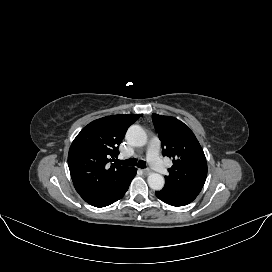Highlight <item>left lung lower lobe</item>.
Wrapping results in <instances>:
<instances>
[{
    "label": "left lung lower lobe",
    "instance_id": "left-lung-lower-lobe-1",
    "mask_svg": "<svg viewBox=\"0 0 272 272\" xmlns=\"http://www.w3.org/2000/svg\"><path fill=\"white\" fill-rule=\"evenodd\" d=\"M202 188L200 187H179L165 185L160 191L155 192L156 196L163 202L173 206H185L191 203Z\"/></svg>",
    "mask_w": 272,
    "mask_h": 272
}]
</instances>
